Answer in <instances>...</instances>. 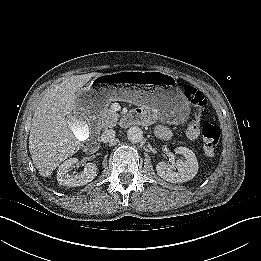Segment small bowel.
Segmentation results:
<instances>
[{"instance_id": "small-bowel-1", "label": "small bowel", "mask_w": 261, "mask_h": 261, "mask_svg": "<svg viewBox=\"0 0 261 261\" xmlns=\"http://www.w3.org/2000/svg\"><path fill=\"white\" fill-rule=\"evenodd\" d=\"M152 114V111L149 109H136L132 112L131 123H145L150 120V116ZM156 135L161 139H168L171 136L170 130L162 125H159L156 127Z\"/></svg>"}]
</instances>
